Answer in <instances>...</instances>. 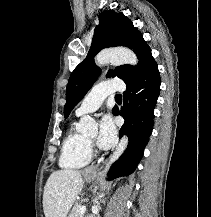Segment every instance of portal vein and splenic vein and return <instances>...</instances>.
I'll return each instance as SVG.
<instances>
[{"instance_id": "1", "label": "portal vein and splenic vein", "mask_w": 211, "mask_h": 217, "mask_svg": "<svg viewBox=\"0 0 211 217\" xmlns=\"http://www.w3.org/2000/svg\"><path fill=\"white\" fill-rule=\"evenodd\" d=\"M85 211H86V206L83 205V206L80 208V212H81V214H84Z\"/></svg>"}]
</instances>
